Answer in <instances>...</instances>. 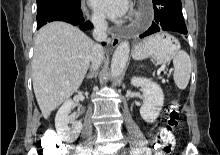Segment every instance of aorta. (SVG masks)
Listing matches in <instances>:
<instances>
[{"mask_svg": "<svg viewBox=\"0 0 220 155\" xmlns=\"http://www.w3.org/2000/svg\"><path fill=\"white\" fill-rule=\"evenodd\" d=\"M130 52V46L127 41L121 42L114 51L111 61V75L116 78L124 71Z\"/></svg>", "mask_w": 220, "mask_h": 155, "instance_id": "obj_1", "label": "aorta"}]
</instances>
